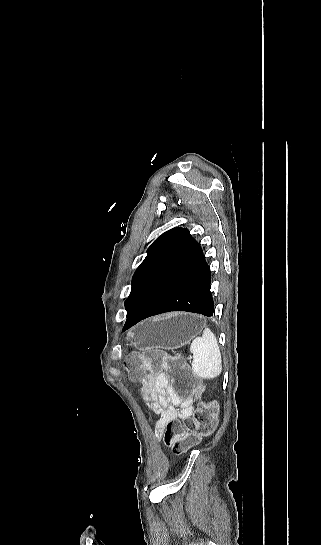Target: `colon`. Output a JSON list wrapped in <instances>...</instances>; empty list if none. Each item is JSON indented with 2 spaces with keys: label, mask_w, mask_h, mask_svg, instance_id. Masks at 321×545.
<instances>
[{
  "label": "colon",
  "mask_w": 321,
  "mask_h": 545,
  "mask_svg": "<svg viewBox=\"0 0 321 545\" xmlns=\"http://www.w3.org/2000/svg\"><path fill=\"white\" fill-rule=\"evenodd\" d=\"M132 378H166L171 388L183 399L197 397L202 390L198 377L179 357H166L159 352L148 351L131 355L126 360ZM217 407L213 402H200L195 414L185 424L170 420L164 427L163 439L174 454L182 455L210 435L216 426Z\"/></svg>",
  "instance_id": "1"
}]
</instances>
